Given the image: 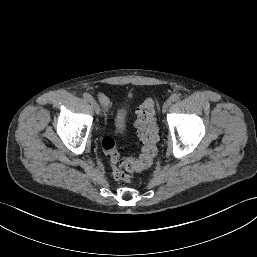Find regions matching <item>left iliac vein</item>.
I'll use <instances>...</instances> for the list:
<instances>
[{
    "mask_svg": "<svg viewBox=\"0 0 257 257\" xmlns=\"http://www.w3.org/2000/svg\"><path fill=\"white\" fill-rule=\"evenodd\" d=\"M172 101L171 99H167L165 101V103L163 104V107H162V111L165 113L167 111V109L169 108V106L171 105Z\"/></svg>",
    "mask_w": 257,
    "mask_h": 257,
    "instance_id": "4c4485c4",
    "label": "left iliac vein"
}]
</instances>
